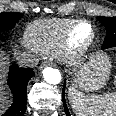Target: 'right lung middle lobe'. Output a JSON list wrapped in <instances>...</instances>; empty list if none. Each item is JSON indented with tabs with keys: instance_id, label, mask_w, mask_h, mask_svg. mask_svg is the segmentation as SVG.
<instances>
[{
	"instance_id": "obj_1",
	"label": "right lung middle lobe",
	"mask_w": 116,
	"mask_h": 116,
	"mask_svg": "<svg viewBox=\"0 0 116 116\" xmlns=\"http://www.w3.org/2000/svg\"><path fill=\"white\" fill-rule=\"evenodd\" d=\"M21 17L22 14L15 12L0 13V33L11 30Z\"/></svg>"
}]
</instances>
